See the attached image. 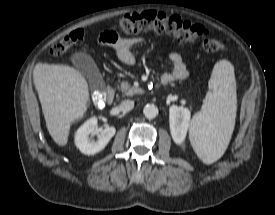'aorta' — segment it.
I'll list each match as a JSON object with an SVG mask.
<instances>
[{
    "label": "aorta",
    "instance_id": "762f6f07",
    "mask_svg": "<svg viewBox=\"0 0 275 215\" xmlns=\"http://www.w3.org/2000/svg\"><path fill=\"white\" fill-rule=\"evenodd\" d=\"M158 112H159L158 108L153 104H148L143 109V114L148 119L155 118L158 115Z\"/></svg>",
    "mask_w": 275,
    "mask_h": 215
}]
</instances>
